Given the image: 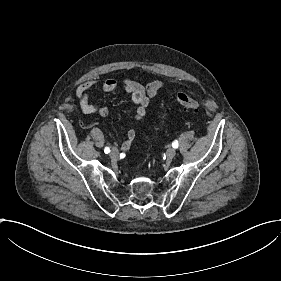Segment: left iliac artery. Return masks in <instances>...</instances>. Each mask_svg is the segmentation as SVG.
Segmentation results:
<instances>
[{"label":"left iliac artery","instance_id":"1","mask_svg":"<svg viewBox=\"0 0 281 281\" xmlns=\"http://www.w3.org/2000/svg\"><path fill=\"white\" fill-rule=\"evenodd\" d=\"M172 147L173 148H178V141L177 140H175L173 143H172Z\"/></svg>","mask_w":281,"mask_h":281}]
</instances>
